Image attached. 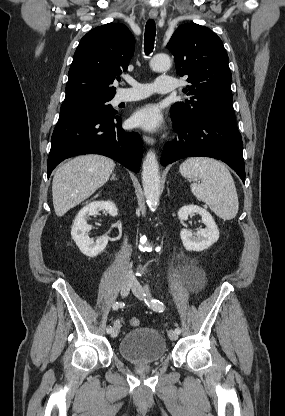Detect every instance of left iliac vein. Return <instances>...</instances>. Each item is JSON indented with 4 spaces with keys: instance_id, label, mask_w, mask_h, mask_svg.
Wrapping results in <instances>:
<instances>
[{
    "instance_id": "left-iliac-vein-1",
    "label": "left iliac vein",
    "mask_w": 285,
    "mask_h": 416,
    "mask_svg": "<svg viewBox=\"0 0 285 416\" xmlns=\"http://www.w3.org/2000/svg\"><path fill=\"white\" fill-rule=\"evenodd\" d=\"M131 290L136 295V297L144 299L146 292L139 282L135 281ZM168 336L170 340H176L178 338V334L172 329L168 331Z\"/></svg>"
}]
</instances>
